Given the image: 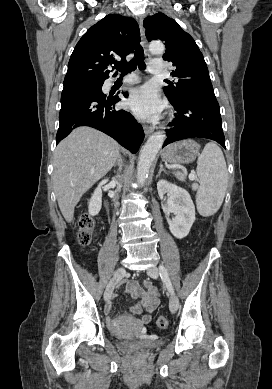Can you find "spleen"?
I'll return each instance as SVG.
<instances>
[{
  "instance_id": "1",
  "label": "spleen",
  "mask_w": 272,
  "mask_h": 389,
  "mask_svg": "<svg viewBox=\"0 0 272 389\" xmlns=\"http://www.w3.org/2000/svg\"><path fill=\"white\" fill-rule=\"evenodd\" d=\"M197 175L200 186L196 194V205L200 215L209 217L215 214L225 197L228 171L223 152L213 142L205 145L197 160ZM177 178L184 180L178 173Z\"/></svg>"
}]
</instances>
